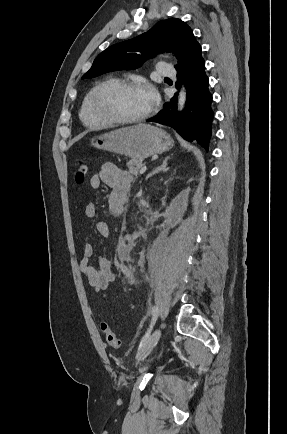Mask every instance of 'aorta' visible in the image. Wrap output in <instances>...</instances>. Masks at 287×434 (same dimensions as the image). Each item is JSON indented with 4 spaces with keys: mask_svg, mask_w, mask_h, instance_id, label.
Listing matches in <instances>:
<instances>
[{
    "mask_svg": "<svg viewBox=\"0 0 287 434\" xmlns=\"http://www.w3.org/2000/svg\"><path fill=\"white\" fill-rule=\"evenodd\" d=\"M185 102H186V90L184 87H182L181 91L179 93V96H178V110L179 111H181L184 108Z\"/></svg>",
    "mask_w": 287,
    "mask_h": 434,
    "instance_id": "762f6f07",
    "label": "aorta"
}]
</instances>
